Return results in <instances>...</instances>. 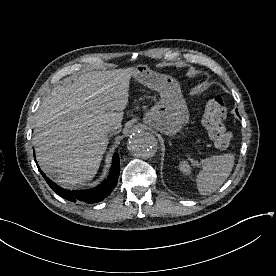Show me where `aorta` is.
<instances>
[{
	"label": "aorta",
	"instance_id": "1",
	"mask_svg": "<svg viewBox=\"0 0 276 276\" xmlns=\"http://www.w3.org/2000/svg\"><path fill=\"white\" fill-rule=\"evenodd\" d=\"M127 147L131 155L140 159H148L158 149L156 137L146 131H135L128 140Z\"/></svg>",
	"mask_w": 276,
	"mask_h": 276
}]
</instances>
